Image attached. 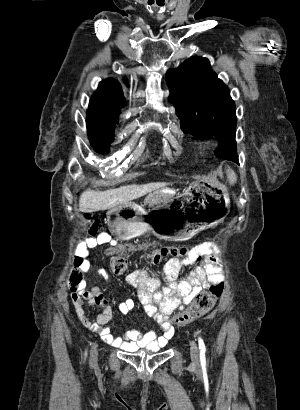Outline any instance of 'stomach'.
Returning a JSON list of instances; mask_svg holds the SVG:
<instances>
[{"mask_svg":"<svg viewBox=\"0 0 300 410\" xmlns=\"http://www.w3.org/2000/svg\"><path fill=\"white\" fill-rule=\"evenodd\" d=\"M159 191L145 199L151 210L126 202L107 212L111 234L121 241L151 232L160 239L185 241L224 220L230 199L224 187L195 182L176 199L158 202Z\"/></svg>","mask_w":300,"mask_h":410,"instance_id":"1","label":"stomach"}]
</instances>
